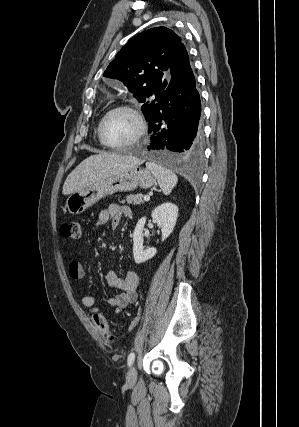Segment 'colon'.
Listing matches in <instances>:
<instances>
[{
	"label": "colon",
	"mask_w": 299,
	"mask_h": 427,
	"mask_svg": "<svg viewBox=\"0 0 299 427\" xmlns=\"http://www.w3.org/2000/svg\"><path fill=\"white\" fill-rule=\"evenodd\" d=\"M60 233L65 238L79 239L81 236V225L78 222L64 223L60 227ZM92 322L97 332L108 342L114 339L113 331L108 321L101 314H94Z\"/></svg>",
	"instance_id": "colon-1"
}]
</instances>
